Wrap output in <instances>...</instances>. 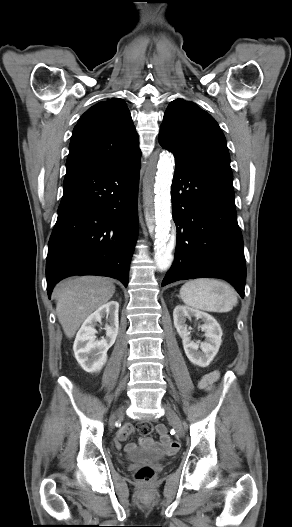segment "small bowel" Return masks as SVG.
I'll return each mask as SVG.
<instances>
[{"instance_id":"c3829d8e","label":"small bowel","mask_w":292,"mask_h":527,"mask_svg":"<svg viewBox=\"0 0 292 527\" xmlns=\"http://www.w3.org/2000/svg\"><path fill=\"white\" fill-rule=\"evenodd\" d=\"M217 378V372L208 373L201 379L199 387L201 389L207 390L213 385ZM133 431L134 427L132 425H125L118 432V435L114 441L115 449L120 450L122 448V442H124ZM168 432L169 429L166 426V423L164 421H159L157 423V433L160 440L154 441L152 438L147 436L148 434H146L140 439L139 444L144 448H157L158 450L164 452H174L178 448V444L169 437ZM135 447L136 446L134 444H128L126 449L128 451H133Z\"/></svg>"}]
</instances>
